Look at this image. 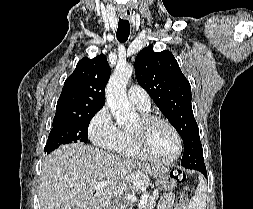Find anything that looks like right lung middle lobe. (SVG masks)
Wrapping results in <instances>:
<instances>
[{
	"instance_id": "right-lung-middle-lobe-1",
	"label": "right lung middle lobe",
	"mask_w": 253,
	"mask_h": 209,
	"mask_svg": "<svg viewBox=\"0 0 253 209\" xmlns=\"http://www.w3.org/2000/svg\"><path fill=\"white\" fill-rule=\"evenodd\" d=\"M98 111L92 110L77 116L54 119L44 151L48 154L62 144L73 142L87 143L90 120Z\"/></svg>"
}]
</instances>
